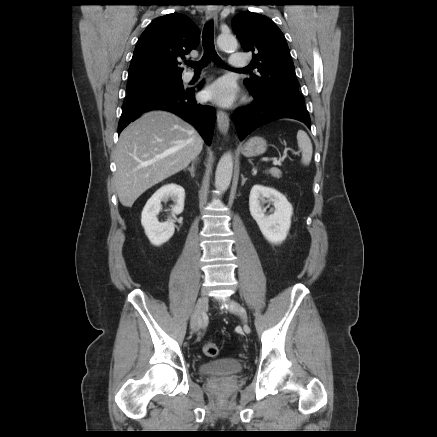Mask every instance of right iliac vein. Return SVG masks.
Masks as SVG:
<instances>
[{
	"mask_svg": "<svg viewBox=\"0 0 437 437\" xmlns=\"http://www.w3.org/2000/svg\"><path fill=\"white\" fill-rule=\"evenodd\" d=\"M207 307L208 297L204 294L198 299L193 315L191 317L190 327L193 332H197L201 328L202 319Z\"/></svg>",
	"mask_w": 437,
	"mask_h": 437,
	"instance_id": "right-iliac-vein-1",
	"label": "right iliac vein"
}]
</instances>
